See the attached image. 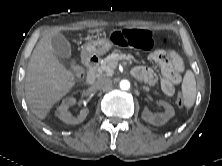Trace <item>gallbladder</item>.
<instances>
[{"label":"gallbladder","mask_w":222,"mask_h":166,"mask_svg":"<svg viewBox=\"0 0 222 166\" xmlns=\"http://www.w3.org/2000/svg\"><path fill=\"white\" fill-rule=\"evenodd\" d=\"M51 44L55 55L61 58L70 59L72 56L71 46L69 41L62 34H57L52 37Z\"/></svg>","instance_id":"obj_1"}]
</instances>
